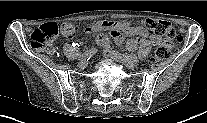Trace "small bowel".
Listing matches in <instances>:
<instances>
[{
    "label": "small bowel",
    "mask_w": 207,
    "mask_h": 123,
    "mask_svg": "<svg viewBox=\"0 0 207 123\" xmlns=\"http://www.w3.org/2000/svg\"><path fill=\"white\" fill-rule=\"evenodd\" d=\"M86 31L87 33L98 34L96 42L106 50L109 49L110 39L104 32H110L117 44H121L123 41L121 33L133 36L134 38L129 39L126 43V47L132 51L136 50L138 45L145 41H148L152 45H159L162 42L159 35L150 33L142 26L134 27L126 21H98L93 23Z\"/></svg>",
    "instance_id": "obj_1"
}]
</instances>
